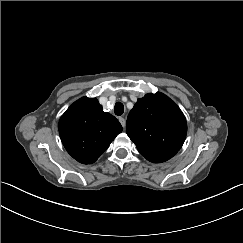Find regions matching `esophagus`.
I'll return each mask as SVG.
<instances>
[{
    "instance_id": "34e87169",
    "label": "esophagus",
    "mask_w": 243,
    "mask_h": 243,
    "mask_svg": "<svg viewBox=\"0 0 243 243\" xmlns=\"http://www.w3.org/2000/svg\"><path fill=\"white\" fill-rule=\"evenodd\" d=\"M119 122L121 123L122 127H125L126 121L123 117H119Z\"/></svg>"
}]
</instances>
